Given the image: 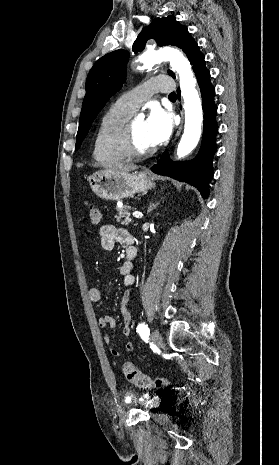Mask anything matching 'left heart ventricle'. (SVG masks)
Wrapping results in <instances>:
<instances>
[{
    "label": "left heart ventricle",
    "instance_id": "obj_1",
    "mask_svg": "<svg viewBox=\"0 0 279 465\" xmlns=\"http://www.w3.org/2000/svg\"><path fill=\"white\" fill-rule=\"evenodd\" d=\"M132 143L133 147L140 151L154 146L148 136L144 120H134L132 125Z\"/></svg>",
    "mask_w": 279,
    "mask_h": 465
}]
</instances>
